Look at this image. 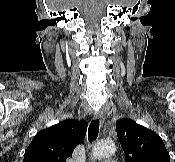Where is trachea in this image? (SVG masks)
<instances>
[{
	"mask_svg": "<svg viewBox=\"0 0 175 162\" xmlns=\"http://www.w3.org/2000/svg\"><path fill=\"white\" fill-rule=\"evenodd\" d=\"M99 133V120H94L91 122L88 128V140L90 143L96 140Z\"/></svg>",
	"mask_w": 175,
	"mask_h": 162,
	"instance_id": "trachea-1",
	"label": "trachea"
}]
</instances>
